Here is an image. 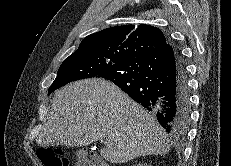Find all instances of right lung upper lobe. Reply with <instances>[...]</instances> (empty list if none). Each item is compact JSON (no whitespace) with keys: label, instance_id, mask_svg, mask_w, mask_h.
I'll return each mask as SVG.
<instances>
[{"label":"right lung upper lobe","instance_id":"right-lung-upper-lobe-1","mask_svg":"<svg viewBox=\"0 0 231 166\" xmlns=\"http://www.w3.org/2000/svg\"><path fill=\"white\" fill-rule=\"evenodd\" d=\"M168 43L162 31L141 24L107 28L85 37L76 51L90 49L125 60L156 51Z\"/></svg>","mask_w":231,"mask_h":166}]
</instances>
